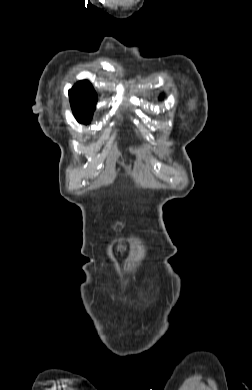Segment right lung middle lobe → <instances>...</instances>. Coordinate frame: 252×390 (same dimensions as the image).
Wrapping results in <instances>:
<instances>
[{
  "label": "right lung middle lobe",
  "instance_id": "1",
  "mask_svg": "<svg viewBox=\"0 0 252 390\" xmlns=\"http://www.w3.org/2000/svg\"><path fill=\"white\" fill-rule=\"evenodd\" d=\"M78 122L88 124L91 121L93 111L73 113Z\"/></svg>",
  "mask_w": 252,
  "mask_h": 390
}]
</instances>
